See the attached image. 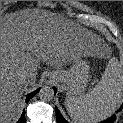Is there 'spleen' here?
Wrapping results in <instances>:
<instances>
[{
  "mask_svg": "<svg viewBox=\"0 0 123 123\" xmlns=\"http://www.w3.org/2000/svg\"><path fill=\"white\" fill-rule=\"evenodd\" d=\"M123 96V72L117 59L111 58L98 84L87 94L65 101L74 123H98L110 117Z\"/></svg>",
  "mask_w": 123,
  "mask_h": 123,
  "instance_id": "3e777b00",
  "label": "spleen"
}]
</instances>
